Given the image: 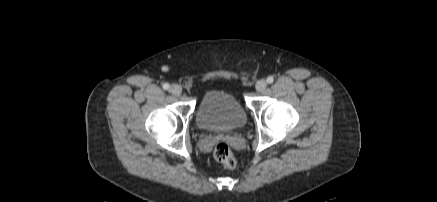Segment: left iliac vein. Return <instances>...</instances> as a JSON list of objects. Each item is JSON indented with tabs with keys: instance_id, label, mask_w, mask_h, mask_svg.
<instances>
[{
	"instance_id": "1",
	"label": "left iliac vein",
	"mask_w": 437,
	"mask_h": 202,
	"mask_svg": "<svg viewBox=\"0 0 437 202\" xmlns=\"http://www.w3.org/2000/svg\"><path fill=\"white\" fill-rule=\"evenodd\" d=\"M266 87H267V82L265 81V80H259V81H257V83H256V85H255V88H256V90L258 91V92H262V91H264L265 89H266Z\"/></svg>"
}]
</instances>
